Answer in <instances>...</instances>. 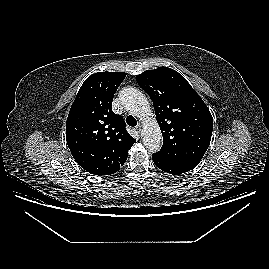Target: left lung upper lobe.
<instances>
[{"instance_id": "5c2ea615", "label": "left lung upper lobe", "mask_w": 269, "mask_h": 269, "mask_svg": "<svg viewBox=\"0 0 269 269\" xmlns=\"http://www.w3.org/2000/svg\"><path fill=\"white\" fill-rule=\"evenodd\" d=\"M136 80L153 101L163 136V147L153 155L171 164L196 167L213 130L204 101L181 74L168 67L146 70Z\"/></svg>"}]
</instances>
